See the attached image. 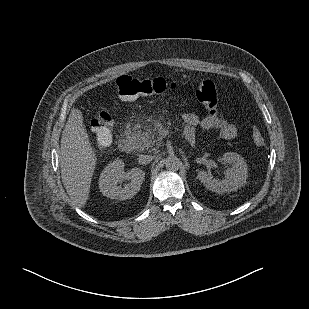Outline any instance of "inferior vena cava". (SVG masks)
I'll use <instances>...</instances> for the list:
<instances>
[{"label":"inferior vena cava","mask_w":309,"mask_h":309,"mask_svg":"<svg viewBox=\"0 0 309 309\" xmlns=\"http://www.w3.org/2000/svg\"><path fill=\"white\" fill-rule=\"evenodd\" d=\"M153 159H154V156L152 155L141 154L138 157V162L141 165H146V164H149L151 161H153Z\"/></svg>","instance_id":"obj_1"}]
</instances>
